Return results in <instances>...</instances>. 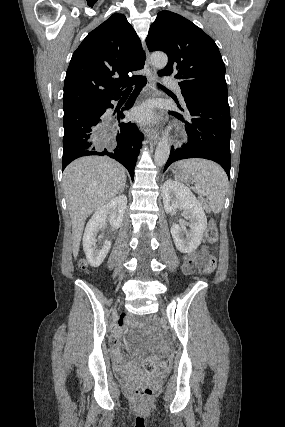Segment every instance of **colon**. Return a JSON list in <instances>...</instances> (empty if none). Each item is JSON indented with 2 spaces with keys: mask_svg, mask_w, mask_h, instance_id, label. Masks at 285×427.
I'll return each instance as SVG.
<instances>
[{
  "mask_svg": "<svg viewBox=\"0 0 285 427\" xmlns=\"http://www.w3.org/2000/svg\"><path fill=\"white\" fill-rule=\"evenodd\" d=\"M218 233L217 229L210 225L205 234V245L202 247V250L199 256L195 258H189L185 263V270H202L206 273H209L214 270L216 266V260L213 255L207 252V245H214L217 243ZM80 266L82 269H87V264L85 261H81ZM140 363L147 372H155L164 366V362L157 359L146 358L141 356ZM135 395L137 400L141 403L151 402L153 399V389L148 385H141L135 388Z\"/></svg>",
  "mask_w": 285,
  "mask_h": 427,
  "instance_id": "1",
  "label": "colon"
}]
</instances>
